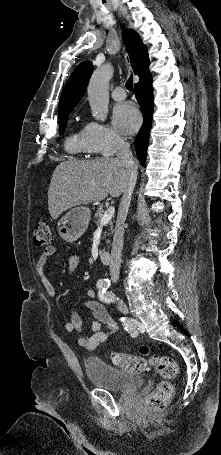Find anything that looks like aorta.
I'll list each match as a JSON object with an SVG mask.
<instances>
[{"instance_id":"1","label":"aorta","mask_w":221,"mask_h":455,"mask_svg":"<svg viewBox=\"0 0 221 455\" xmlns=\"http://www.w3.org/2000/svg\"><path fill=\"white\" fill-rule=\"evenodd\" d=\"M110 76L111 67L103 66L92 74L88 85V100L92 115L100 121H105L108 114Z\"/></svg>"}]
</instances>
